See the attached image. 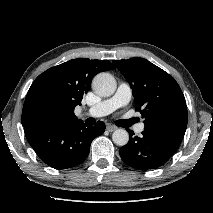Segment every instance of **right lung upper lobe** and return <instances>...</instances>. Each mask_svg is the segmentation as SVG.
I'll return each mask as SVG.
<instances>
[{
  "label": "right lung upper lobe",
  "instance_id": "1",
  "mask_svg": "<svg viewBox=\"0 0 213 213\" xmlns=\"http://www.w3.org/2000/svg\"><path fill=\"white\" fill-rule=\"evenodd\" d=\"M115 69L108 60L77 58L40 74L31 85L22 110V125L47 128L67 127L79 122L77 105L91 86L93 77Z\"/></svg>",
  "mask_w": 213,
  "mask_h": 213
}]
</instances>
